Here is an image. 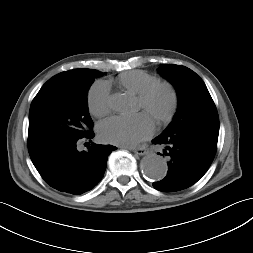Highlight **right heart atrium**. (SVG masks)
Instances as JSON below:
<instances>
[{"label": "right heart atrium", "mask_w": 253, "mask_h": 253, "mask_svg": "<svg viewBox=\"0 0 253 253\" xmlns=\"http://www.w3.org/2000/svg\"><path fill=\"white\" fill-rule=\"evenodd\" d=\"M87 105L90 113L96 117L104 116L110 109V88L107 82H95L87 95Z\"/></svg>", "instance_id": "d8ad5b80"}]
</instances>
